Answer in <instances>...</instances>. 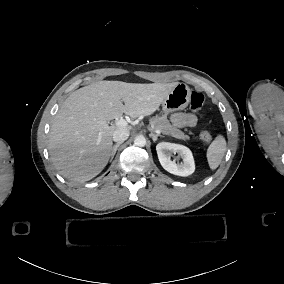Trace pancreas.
Returning <instances> with one entry per match:
<instances>
[{
    "mask_svg": "<svg viewBox=\"0 0 284 284\" xmlns=\"http://www.w3.org/2000/svg\"><path fill=\"white\" fill-rule=\"evenodd\" d=\"M150 126V130H161L164 135H169L181 140H190V136L175 127L174 125H172L167 116L165 115L150 121Z\"/></svg>",
    "mask_w": 284,
    "mask_h": 284,
    "instance_id": "cf45deb5",
    "label": "pancreas"
}]
</instances>
